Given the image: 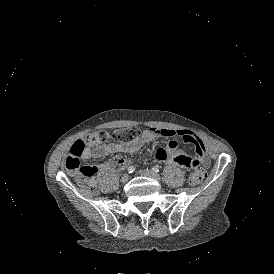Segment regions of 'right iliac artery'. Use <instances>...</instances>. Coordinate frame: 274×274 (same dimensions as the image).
I'll return each instance as SVG.
<instances>
[{
  "label": "right iliac artery",
  "mask_w": 274,
  "mask_h": 274,
  "mask_svg": "<svg viewBox=\"0 0 274 274\" xmlns=\"http://www.w3.org/2000/svg\"><path fill=\"white\" fill-rule=\"evenodd\" d=\"M128 173H133L135 171V167L134 166H130L127 169Z\"/></svg>",
  "instance_id": "1"
}]
</instances>
